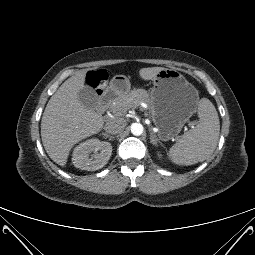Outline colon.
<instances>
[{
  "instance_id": "5ec220e1",
  "label": "colon",
  "mask_w": 255,
  "mask_h": 255,
  "mask_svg": "<svg viewBox=\"0 0 255 255\" xmlns=\"http://www.w3.org/2000/svg\"><path fill=\"white\" fill-rule=\"evenodd\" d=\"M107 79V75L104 71H90L87 74V83L95 88H101V86L105 83Z\"/></svg>"
}]
</instances>
